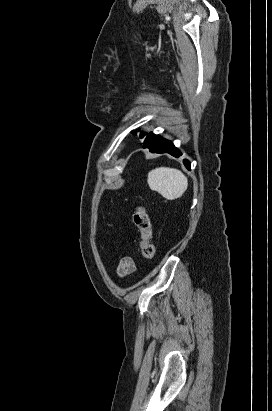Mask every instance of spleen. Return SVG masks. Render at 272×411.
<instances>
[{
    "instance_id": "spleen-1",
    "label": "spleen",
    "mask_w": 272,
    "mask_h": 411,
    "mask_svg": "<svg viewBox=\"0 0 272 411\" xmlns=\"http://www.w3.org/2000/svg\"><path fill=\"white\" fill-rule=\"evenodd\" d=\"M147 182L151 190L158 192L167 200L180 198L188 186L187 177L180 170L169 167L151 170Z\"/></svg>"
}]
</instances>
